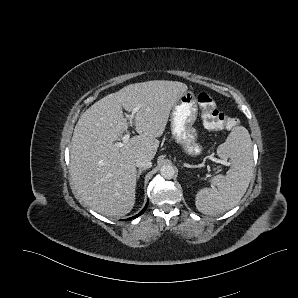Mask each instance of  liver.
Here are the masks:
<instances>
[{"label": "liver", "instance_id": "obj_1", "mask_svg": "<svg viewBox=\"0 0 298 298\" xmlns=\"http://www.w3.org/2000/svg\"><path fill=\"white\" fill-rule=\"evenodd\" d=\"M187 84L171 80H151L129 84L108 94L79 118L70 149V173L84 203L98 213L121 217L135 204L139 157L154 159L170 112ZM134 115L138 135L120 148L115 142L127 132L129 122L123 109Z\"/></svg>", "mask_w": 298, "mask_h": 298}]
</instances>
